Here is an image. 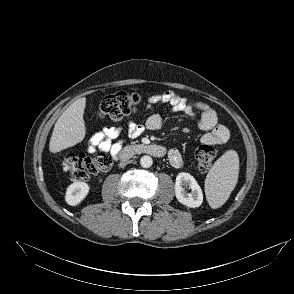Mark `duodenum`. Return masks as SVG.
I'll use <instances>...</instances> for the list:
<instances>
[{
    "instance_id": "410a0bca",
    "label": "duodenum",
    "mask_w": 294,
    "mask_h": 294,
    "mask_svg": "<svg viewBox=\"0 0 294 294\" xmlns=\"http://www.w3.org/2000/svg\"><path fill=\"white\" fill-rule=\"evenodd\" d=\"M166 153L164 146L159 144H135L123 148L118 154L120 162L128 161L135 154H149L154 157H163Z\"/></svg>"
}]
</instances>
